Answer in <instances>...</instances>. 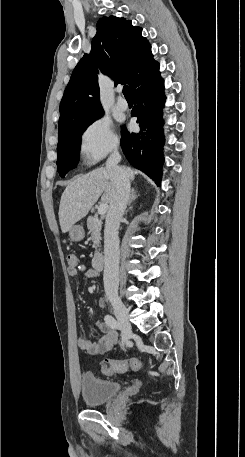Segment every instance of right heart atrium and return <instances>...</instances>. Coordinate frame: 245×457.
<instances>
[{
	"mask_svg": "<svg viewBox=\"0 0 245 457\" xmlns=\"http://www.w3.org/2000/svg\"><path fill=\"white\" fill-rule=\"evenodd\" d=\"M117 144V137L106 118H99L90 123L81 135L84 153L91 159L103 158Z\"/></svg>",
	"mask_w": 245,
	"mask_h": 457,
	"instance_id": "right-heart-atrium-1",
	"label": "right heart atrium"
}]
</instances>
